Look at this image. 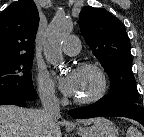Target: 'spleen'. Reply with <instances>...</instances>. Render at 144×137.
I'll return each instance as SVG.
<instances>
[{
  "label": "spleen",
  "instance_id": "spleen-1",
  "mask_svg": "<svg viewBox=\"0 0 144 137\" xmlns=\"http://www.w3.org/2000/svg\"><path fill=\"white\" fill-rule=\"evenodd\" d=\"M126 137H142V133L137 128L131 126L128 128Z\"/></svg>",
  "mask_w": 144,
  "mask_h": 137
}]
</instances>
